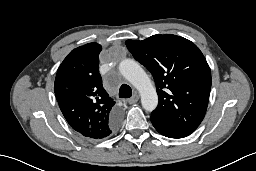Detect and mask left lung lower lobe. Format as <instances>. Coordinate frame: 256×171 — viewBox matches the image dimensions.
I'll list each match as a JSON object with an SVG mask.
<instances>
[{"mask_svg":"<svg viewBox=\"0 0 256 171\" xmlns=\"http://www.w3.org/2000/svg\"><path fill=\"white\" fill-rule=\"evenodd\" d=\"M151 122H152L153 126L155 127V129L159 133H161L162 135H164L166 137H169V138H183V137H185L183 135H180V134L176 133L170 127H168L167 125H165L161 122L155 121L153 119H151Z\"/></svg>","mask_w":256,"mask_h":171,"instance_id":"obj_1","label":"left lung lower lobe"}]
</instances>
